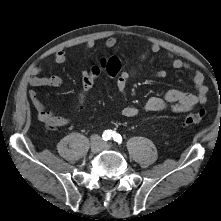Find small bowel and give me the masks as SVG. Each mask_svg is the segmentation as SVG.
Masks as SVG:
<instances>
[{
    "label": "small bowel",
    "mask_w": 221,
    "mask_h": 221,
    "mask_svg": "<svg viewBox=\"0 0 221 221\" xmlns=\"http://www.w3.org/2000/svg\"><path fill=\"white\" fill-rule=\"evenodd\" d=\"M117 44L115 37H108L105 40V47L113 48ZM94 46L93 41H89L86 44L87 49H91ZM160 47L157 44H151L149 48L140 56L141 60L147 58L151 53H158ZM170 59L172 66L176 69H188L192 71L194 91L188 92L182 89H171L167 91L163 96H152L145 104L143 109L147 112L161 111L166 108H170L175 113H184L192 110L198 104H204L207 100L208 88L205 85L203 74L191 67L188 63L182 59L175 57L171 53H166ZM67 61V53L61 49L57 51L53 57V63L63 64ZM41 69L39 67L32 68L33 75L29 78L28 83L33 87H60L63 84V79L58 75H52L48 77L40 76ZM135 71H121L119 76L116 77V87L119 91L123 92L128 80L135 75ZM89 74L88 70L81 71L82 80ZM156 78H164L166 72L159 70L153 74ZM28 97L34 110L37 113L38 119L53 126H65L69 123V119L64 116H59L49 111L42 101L38 98L35 91H28ZM139 110L135 106H126L122 110V114L127 118H133L137 116Z\"/></svg>",
    "instance_id": "small-bowel-1"
}]
</instances>
